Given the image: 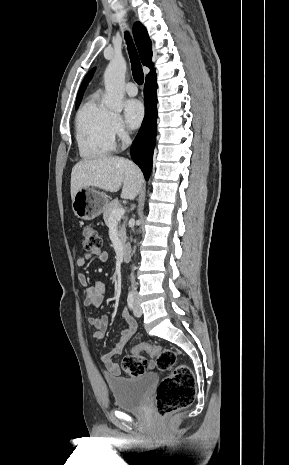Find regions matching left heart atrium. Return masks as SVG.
Returning a JSON list of instances; mask_svg holds the SVG:
<instances>
[{"label":"left heart atrium","mask_w":289,"mask_h":465,"mask_svg":"<svg viewBox=\"0 0 289 465\" xmlns=\"http://www.w3.org/2000/svg\"><path fill=\"white\" fill-rule=\"evenodd\" d=\"M143 104L137 99H130L124 103V116L131 128L140 126L144 118Z\"/></svg>","instance_id":"obj_1"}]
</instances>
